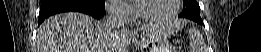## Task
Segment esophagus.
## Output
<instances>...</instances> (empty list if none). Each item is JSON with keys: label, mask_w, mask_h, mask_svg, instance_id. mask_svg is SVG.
<instances>
[{"label": "esophagus", "mask_w": 261, "mask_h": 52, "mask_svg": "<svg viewBox=\"0 0 261 52\" xmlns=\"http://www.w3.org/2000/svg\"><path fill=\"white\" fill-rule=\"evenodd\" d=\"M124 32H125V34H127V35H130L131 34V32H130V30H124Z\"/></svg>", "instance_id": "obj_1"}]
</instances>
